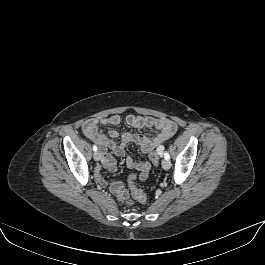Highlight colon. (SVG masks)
<instances>
[{
    "label": "colon",
    "instance_id": "5ec220e1",
    "mask_svg": "<svg viewBox=\"0 0 265 265\" xmlns=\"http://www.w3.org/2000/svg\"><path fill=\"white\" fill-rule=\"evenodd\" d=\"M163 147H157L150 155L149 158L154 165H158L159 159L162 153ZM136 176L130 175L128 178V187L132 196L140 203H147L146 194L137 188L135 184ZM110 191L115 194V196L124 203H131L129 199V192L124 188V185L121 182L115 181L110 184Z\"/></svg>",
    "mask_w": 265,
    "mask_h": 265
}]
</instances>
